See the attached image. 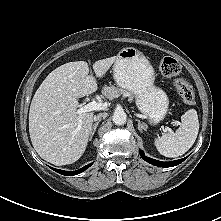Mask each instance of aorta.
<instances>
[{
  "label": "aorta",
  "mask_w": 221,
  "mask_h": 221,
  "mask_svg": "<svg viewBox=\"0 0 221 221\" xmlns=\"http://www.w3.org/2000/svg\"><path fill=\"white\" fill-rule=\"evenodd\" d=\"M127 115L123 110H116L113 113L112 120L115 125H123L126 123Z\"/></svg>",
  "instance_id": "obj_1"
}]
</instances>
